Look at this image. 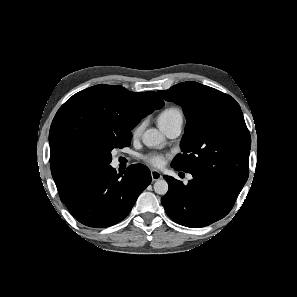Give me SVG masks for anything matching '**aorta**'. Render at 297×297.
Masks as SVG:
<instances>
[{"label":"aorta","mask_w":297,"mask_h":297,"mask_svg":"<svg viewBox=\"0 0 297 297\" xmlns=\"http://www.w3.org/2000/svg\"><path fill=\"white\" fill-rule=\"evenodd\" d=\"M142 140L146 146L156 147L162 145L165 141V138L159 130L151 128L144 132ZM154 191L159 195H165L168 191L167 181L164 179H158L154 183Z\"/></svg>","instance_id":"762f6f07"}]
</instances>
